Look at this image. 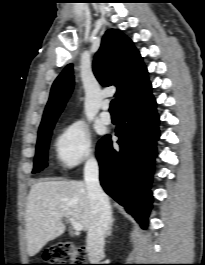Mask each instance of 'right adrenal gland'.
<instances>
[{"label":"right adrenal gland","instance_id":"right-adrenal-gland-1","mask_svg":"<svg viewBox=\"0 0 205 265\" xmlns=\"http://www.w3.org/2000/svg\"><path fill=\"white\" fill-rule=\"evenodd\" d=\"M113 223H114V218L111 219V222H110V225H109V228H108V230H107V232H106L105 237H109V236H111V234H112V226H113Z\"/></svg>","mask_w":205,"mask_h":265}]
</instances>
